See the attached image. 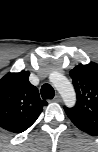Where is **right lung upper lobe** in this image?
Instances as JSON below:
<instances>
[{"label": "right lung upper lobe", "mask_w": 98, "mask_h": 152, "mask_svg": "<svg viewBox=\"0 0 98 152\" xmlns=\"http://www.w3.org/2000/svg\"><path fill=\"white\" fill-rule=\"evenodd\" d=\"M30 72L8 73L0 79V127L21 133L39 117L47 102L29 82Z\"/></svg>", "instance_id": "obj_1"}]
</instances>
